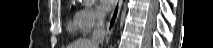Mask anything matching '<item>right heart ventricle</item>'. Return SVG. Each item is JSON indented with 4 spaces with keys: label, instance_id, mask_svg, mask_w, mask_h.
Wrapping results in <instances>:
<instances>
[{
    "label": "right heart ventricle",
    "instance_id": "right-heart-ventricle-1",
    "mask_svg": "<svg viewBox=\"0 0 213 48\" xmlns=\"http://www.w3.org/2000/svg\"><path fill=\"white\" fill-rule=\"evenodd\" d=\"M67 29L69 32H72V33H75L79 30L77 13H75L72 17L69 18L67 23Z\"/></svg>",
    "mask_w": 213,
    "mask_h": 48
}]
</instances>
